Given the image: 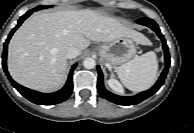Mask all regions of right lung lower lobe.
<instances>
[{
  "mask_svg": "<svg viewBox=\"0 0 194 133\" xmlns=\"http://www.w3.org/2000/svg\"><path fill=\"white\" fill-rule=\"evenodd\" d=\"M34 12L33 10H29L26 14H24L18 21V24L15 28L12 29L11 33L9 34L6 42L4 43V50H3V55H2V66L3 69L9 78L10 82L12 85L28 100H30L33 103L40 104V105H53L57 103H61L65 101L66 99L69 98V96L72 93L73 89V84H72V72L75 69L76 65H73L69 74L68 81L66 85L59 91L55 93H50V94H45V93H40L31 89H28L26 87H23L16 83L9 75L6 67V58H7V46L8 42L13 35V33L16 31V29L22 24V22Z\"/></svg>",
  "mask_w": 194,
  "mask_h": 133,
  "instance_id": "1",
  "label": "right lung lower lobe"
}]
</instances>
